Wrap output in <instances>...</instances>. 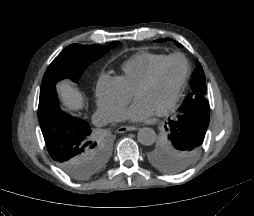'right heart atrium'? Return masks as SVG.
I'll return each mask as SVG.
<instances>
[{
  "label": "right heart atrium",
  "instance_id": "1",
  "mask_svg": "<svg viewBox=\"0 0 254 216\" xmlns=\"http://www.w3.org/2000/svg\"><path fill=\"white\" fill-rule=\"evenodd\" d=\"M96 99L99 111L107 118H118L132 99L117 77L102 75L96 85Z\"/></svg>",
  "mask_w": 254,
  "mask_h": 216
}]
</instances>
